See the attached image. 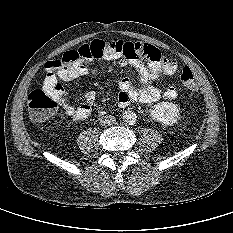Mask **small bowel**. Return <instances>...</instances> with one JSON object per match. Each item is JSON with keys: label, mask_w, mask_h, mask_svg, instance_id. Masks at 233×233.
I'll return each instance as SVG.
<instances>
[{"label": "small bowel", "mask_w": 233, "mask_h": 233, "mask_svg": "<svg viewBox=\"0 0 233 233\" xmlns=\"http://www.w3.org/2000/svg\"><path fill=\"white\" fill-rule=\"evenodd\" d=\"M108 43L102 55L104 60H119L121 67L131 66L136 72L138 83L130 78L117 80L119 88L118 102L125 107L131 102L152 103L160 99L174 100L178 96L174 86L162 88V75L173 74L177 70L174 59L165 57L154 46L129 41H104ZM49 62V61H48ZM45 64L46 77L43 88L54 93L58 104L65 113L76 120H83L90 116L95 101V93L87 91L84 94V103L79 107L70 105L65 99V90L59 83L72 81L84 75L98 76L103 73V64L98 59H91L85 65L77 62L65 69H53Z\"/></svg>", "instance_id": "c3829d8e"}]
</instances>
